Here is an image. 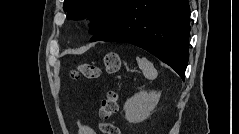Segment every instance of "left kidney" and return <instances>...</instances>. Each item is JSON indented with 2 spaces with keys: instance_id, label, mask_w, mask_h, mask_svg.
<instances>
[{
  "instance_id": "1",
  "label": "left kidney",
  "mask_w": 239,
  "mask_h": 134,
  "mask_svg": "<svg viewBox=\"0 0 239 134\" xmlns=\"http://www.w3.org/2000/svg\"><path fill=\"white\" fill-rule=\"evenodd\" d=\"M161 93L157 91H140L129 98L125 105V118L130 123H139L147 119L157 106Z\"/></svg>"
}]
</instances>
